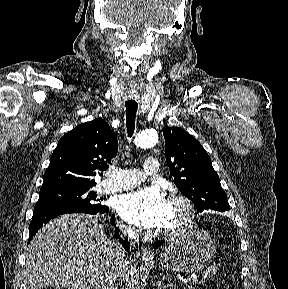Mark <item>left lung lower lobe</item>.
<instances>
[{
	"label": "left lung lower lobe",
	"mask_w": 288,
	"mask_h": 289,
	"mask_svg": "<svg viewBox=\"0 0 288 289\" xmlns=\"http://www.w3.org/2000/svg\"><path fill=\"white\" fill-rule=\"evenodd\" d=\"M163 243H164V240H162V241H157V242H155V243L153 244V247L156 249V248L160 247Z\"/></svg>",
	"instance_id": "obj_1"
}]
</instances>
